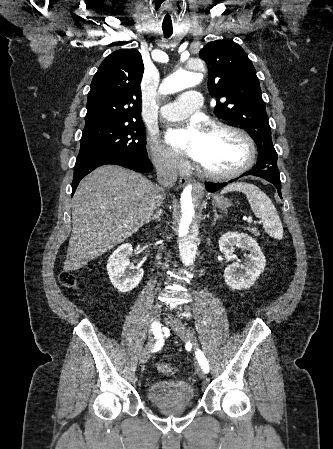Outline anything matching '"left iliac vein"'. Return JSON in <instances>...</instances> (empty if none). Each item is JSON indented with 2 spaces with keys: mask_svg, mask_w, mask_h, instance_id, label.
Returning <instances> with one entry per match:
<instances>
[{
  "mask_svg": "<svg viewBox=\"0 0 333 449\" xmlns=\"http://www.w3.org/2000/svg\"><path fill=\"white\" fill-rule=\"evenodd\" d=\"M172 328L182 340L190 341L194 348L198 347V342H197V339H196L194 333L188 327H186L184 324L179 323V322H174V324L172 325ZM196 373L201 379H205L206 375L199 365L196 367Z\"/></svg>",
  "mask_w": 333,
  "mask_h": 449,
  "instance_id": "1",
  "label": "left iliac vein"
}]
</instances>
